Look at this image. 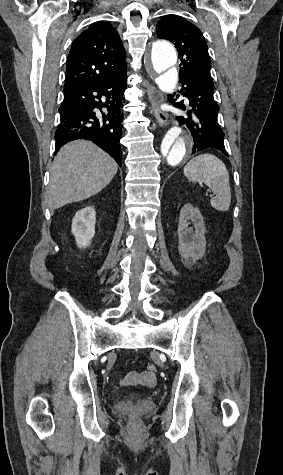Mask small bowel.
Here are the masks:
<instances>
[{
    "instance_id": "1",
    "label": "small bowel",
    "mask_w": 283,
    "mask_h": 475,
    "mask_svg": "<svg viewBox=\"0 0 283 475\" xmlns=\"http://www.w3.org/2000/svg\"><path fill=\"white\" fill-rule=\"evenodd\" d=\"M121 377L122 378L120 380V384L123 385V386L130 385L133 382H138V383L148 385V386H151L155 383V377L154 376L150 377L148 379H143L144 378V373L142 371H137V372L124 371V372H122ZM128 379H137V380L130 381Z\"/></svg>"
}]
</instances>
